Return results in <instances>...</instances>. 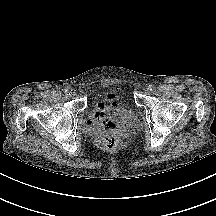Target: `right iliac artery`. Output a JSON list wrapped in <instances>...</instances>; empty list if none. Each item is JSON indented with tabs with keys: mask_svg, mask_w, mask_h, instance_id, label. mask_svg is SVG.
<instances>
[{
	"mask_svg": "<svg viewBox=\"0 0 216 216\" xmlns=\"http://www.w3.org/2000/svg\"><path fill=\"white\" fill-rule=\"evenodd\" d=\"M64 92H65L66 95H70V90L65 89Z\"/></svg>",
	"mask_w": 216,
	"mask_h": 216,
	"instance_id": "obj_1",
	"label": "right iliac artery"
}]
</instances>
